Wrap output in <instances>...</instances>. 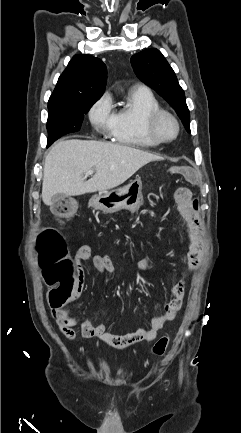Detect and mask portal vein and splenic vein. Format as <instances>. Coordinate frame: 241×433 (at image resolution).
Instances as JSON below:
<instances>
[{"label": "portal vein and splenic vein", "instance_id": "portal-vein-and-splenic-vein-1", "mask_svg": "<svg viewBox=\"0 0 241 433\" xmlns=\"http://www.w3.org/2000/svg\"><path fill=\"white\" fill-rule=\"evenodd\" d=\"M92 174H94V170H88L87 172H86V175H92Z\"/></svg>", "mask_w": 241, "mask_h": 433}]
</instances>
